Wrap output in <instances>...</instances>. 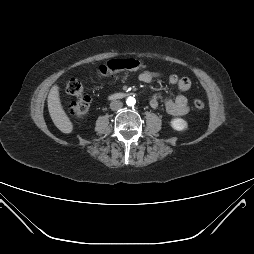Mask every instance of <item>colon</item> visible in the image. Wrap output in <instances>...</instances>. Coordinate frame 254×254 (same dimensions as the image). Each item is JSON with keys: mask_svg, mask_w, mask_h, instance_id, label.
<instances>
[{"mask_svg": "<svg viewBox=\"0 0 254 254\" xmlns=\"http://www.w3.org/2000/svg\"><path fill=\"white\" fill-rule=\"evenodd\" d=\"M143 68H145V64L136 59H114L101 65L99 73L102 77H110L122 70H141ZM66 91L74 98L69 105V113L76 119L82 120L87 115L91 103L89 95L84 91L82 81L78 78H72L67 84ZM194 107L203 110L205 104L202 100L196 99Z\"/></svg>", "mask_w": 254, "mask_h": 254, "instance_id": "colon-1", "label": "colon"}]
</instances>
